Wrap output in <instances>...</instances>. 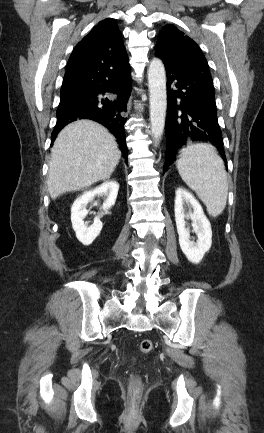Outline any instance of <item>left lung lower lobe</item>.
Wrapping results in <instances>:
<instances>
[{"mask_svg": "<svg viewBox=\"0 0 264 433\" xmlns=\"http://www.w3.org/2000/svg\"><path fill=\"white\" fill-rule=\"evenodd\" d=\"M165 68L168 105L163 172L173 163L176 151L192 141L215 145L223 160L227 162L217 119L212 78L179 72L166 65Z\"/></svg>", "mask_w": 264, "mask_h": 433, "instance_id": "0a47b994", "label": "left lung lower lobe"}]
</instances>
